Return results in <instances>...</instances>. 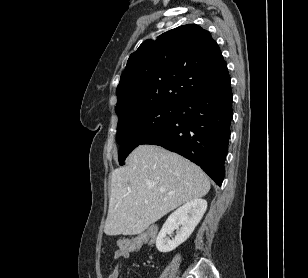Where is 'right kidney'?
<instances>
[{
  "label": "right kidney",
  "instance_id": "ca27d5eb",
  "mask_svg": "<svg viewBox=\"0 0 308 278\" xmlns=\"http://www.w3.org/2000/svg\"><path fill=\"white\" fill-rule=\"evenodd\" d=\"M206 209V200L195 199L174 211L168 217L156 238L158 251L170 252L186 241L202 219ZM174 230H177V233L174 239L170 240L167 236Z\"/></svg>",
  "mask_w": 308,
  "mask_h": 278
}]
</instances>
